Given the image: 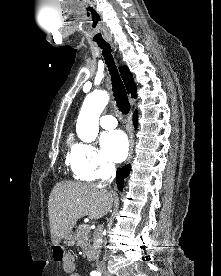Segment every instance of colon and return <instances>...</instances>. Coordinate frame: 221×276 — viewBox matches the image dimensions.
<instances>
[{
  "mask_svg": "<svg viewBox=\"0 0 221 276\" xmlns=\"http://www.w3.org/2000/svg\"><path fill=\"white\" fill-rule=\"evenodd\" d=\"M65 245H56L53 248L54 261L63 262L66 258Z\"/></svg>",
  "mask_w": 221,
  "mask_h": 276,
  "instance_id": "obj_1",
  "label": "colon"
}]
</instances>
